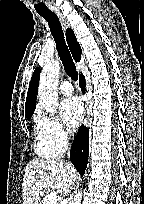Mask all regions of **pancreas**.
<instances>
[{
	"mask_svg": "<svg viewBox=\"0 0 144 204\" xmlns=\"http://www.w3.org/2000/svg\"><path fill=\"white\" fill-rule=\"evenodd\" d=\"M39 204H45V198Z\"/></svg>",
	"mask_w": 144,
	"mask_h": 204,
	"instance_id": "cf45deb5",
	"label": "pancreas"
}]
</instances>
